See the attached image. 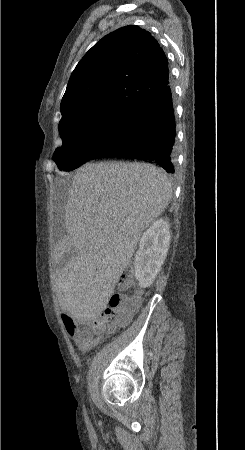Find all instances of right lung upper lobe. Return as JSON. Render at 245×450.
Masks as SVG:
<instances>
[{"mask_svg":"<svg viewBox=\"0 0 245 450\" xmlns=\"http://www.w3.org/2000/svg\"><path fill=\"white\" fill-rule=\"evenodd\" d=\"M167 58L149 32L130 25L103 37L72 72L61 101L62 117L97 104L133 109L169 83Z\"/></svg>","mask_w":245,"mask_h":450,"instance_id":"1","label":"right lung upper lobe"}]
</instances>
